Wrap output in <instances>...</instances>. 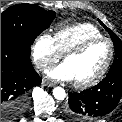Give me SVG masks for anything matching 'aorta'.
Instances as JSON below:
<instances>
[{
	"mask_svg": "<svg viewBox=\"0 0 122 122\" xmlns=\"http://www.w3.org/2000/svg\"><path fill=\"white\" fill-rule=\"evenodd\" d=\"M53 96L57 100H64L66 97V92L62 87H55L53 89Z\"/></svg>",
	"mask_w": 122,
	"mask_h": 122,
	"instance_id": "obj_1",
	"label": "aorta"
}]
</instances>
